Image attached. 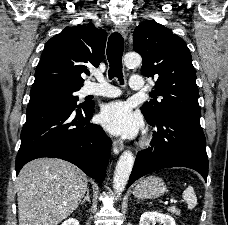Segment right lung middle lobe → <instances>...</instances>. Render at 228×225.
I'll return each instance as SVG.
<instances>
[{"mask_svg":"<svg viewBox=\"0 0 228 225\" xmlns=\"http://www.w3.org/2000/svg\"><path fill=\"white\" fill-rule=\"evenodd\" d=\"M79 89L61 83H46L32 86L28 106L50 101H65L77 106L78 96L74 95V92ZM82 106L85 105H79L78 107Z\"/></svg>","mask_w":228,"mask_h":225,"instance_id":"right-lung-middle-lobe-1","label":"right lung middle lobe"}]
</instances>
